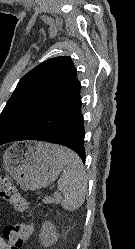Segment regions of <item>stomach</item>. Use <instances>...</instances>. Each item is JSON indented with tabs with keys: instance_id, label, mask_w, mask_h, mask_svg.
Instances as JSON below:
<instances>
[{
	"instance_id": "obj_1",
	"label": "stomach",
	"mask_w": 135,
	"mask_h": 249,
	"mask_svg": "<svg viewBox=\"0 0 135 249\" xmlns=\"http://www.w3.org/2000/svg\"><path fill=\"white\" fill-rule=\"evenodd\" d=\"M5 169L24 190H38L52 184L65 163L54 145L43 142L14 143L2 154Z\"/></svg>"
}]
</instances>
